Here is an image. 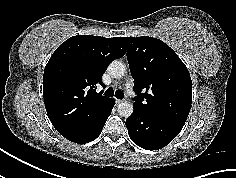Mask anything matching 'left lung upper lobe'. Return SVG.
Wrapping results in <instances>:
<instances>
[{
  "mask_svg": "<svg viewBox=\"0 0 236 178\" xmlns=\"http://www.w3.org/2000/svg\"><path fill=\"white\" fill-rule=\"evenodd\" d=\"M134 90V108L184 125L192 101L189 71L163 41L152 37L123 38Z\"/></svg>",
  "mask_w": 236,
  "mask_h": 178,
  "instance_id": "obj_1",
  "label": "left lung upper lobe"
}]
</instances>
